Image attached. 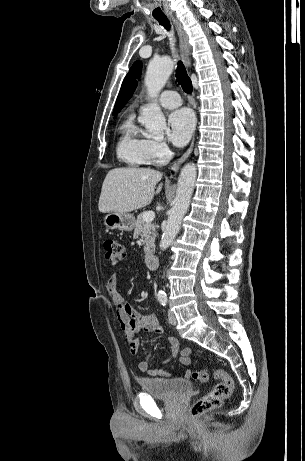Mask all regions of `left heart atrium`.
<instances>
[{
  "label": "left heart atrium",
  "instance_id": "1",
  "mask_svg": "<svg viewBox=\"0 0 305 461\" xmlns=\"http://www.w3.org/2000/svg\"><path fill=\"white\" fill-rule=\"evenodd\" d=\"M169 138L176 146H184L190 139L195 120L188 109H178L172 112L168 118Z\"/></svg>",
  "mask_w": 305,
  "mask_h": 461
}]
</instances>
